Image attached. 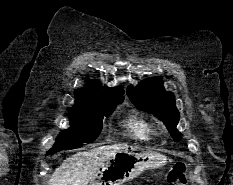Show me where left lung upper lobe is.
Listing matches in <instances>:
<instances>
[{"mask_svg": "<svg viewBox=\"0 0 233 185\" xmlns=\"http://www.w3.org/2000/svg\"><path fill=\"white\" fill-rule=\"evenodd\" d=\"M127 95L137 108L161 119L175 141L181 139V134L176 129L180 114L175 107L174 95L165 91L159 79L150 78L136 87L129 86Z\"/></svg>", "mask_w": 233, "mask_h": 185, "instance_id": "obj_1", "label": "left lung upper lobe"}]
</instances>
